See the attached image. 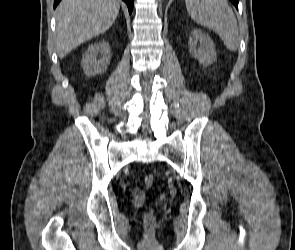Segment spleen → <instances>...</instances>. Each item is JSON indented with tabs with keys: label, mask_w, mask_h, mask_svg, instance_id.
Here are the masks:
<instances>
[{
	"label": "spleen",
	"mask_w": 295,
	"mask_h": 250,
	"mask_svg": "<svg viewBox=\"0 0 295 250\" xmlns=\"http://www.w3.org/2000/svg\"><path fill=\"white\" fill-rule=\"evenodd\" d=\"M191 18L212 29L222 39L229 51L239 47L237 20L227 0H185Z\"/></svg>",
	"instance_id": "1"
}]
</instances>
